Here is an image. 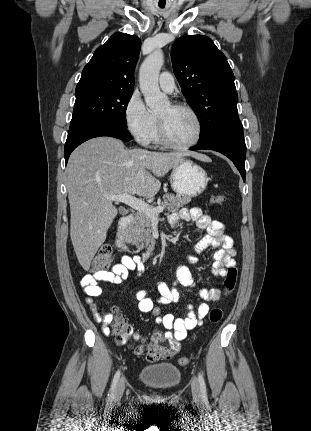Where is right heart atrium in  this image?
I'll use <instances>...</instances> for the list:
<instances>
[{"label": "right heart atrium", "instance_id": "obj_1", "mask_svg": "<svg viewBox=\"0 0 311 431\" xmlns=\"http://www.w3.org/2000/svg\"><path fill=\"white\" fill-rule=\"evenodd\" d=\"M154 118L137 91H133L124 106V123L129 134L140 144L148 143Z\"/></svg>", "mask_w": 311, "mask_h": 431}]
</instances>
